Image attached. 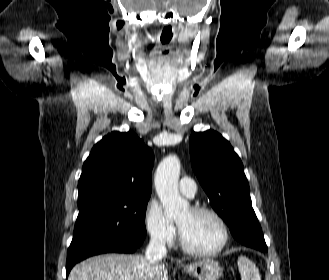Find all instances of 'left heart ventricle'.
Listing matches in <instances>:
<instances>
[{
    "label": "left heart ventricle",
    "mask_w": 329,
    "mask_h": 280,
    "mask_svg": "<svg viewBox=\"0 0 329 280\" xmlns=\"http://www.w3.org/2000/svg\"><path fill=\"white\" fill-rule=\"evenodd\" d=\"M177 224L186 243L195 249L211 250L221 241V228L209 215L194 214L188 209L178 218Z\"/></svg>",
    "instance_id": "b2bd125f"
}]
</instances>
